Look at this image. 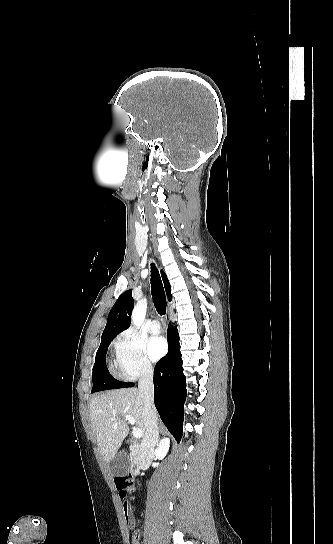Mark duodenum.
<instances>
[{"label":"duodenum","mask_w":333,"mask_h":544,"mask_svg":"<svg viewBox=\"0 0 333 544\" xmlns=\"http://www.w3.org/2000/svg\"><path fill=\"white\" fill-rule=\"evenodd\" d=\"M130 452H131V469L130 470H131V473L136 476L147 467L149 463L150 451L138 443H131Z\"/></svg>","instance_id":"410a0bca"}]
</instances>
